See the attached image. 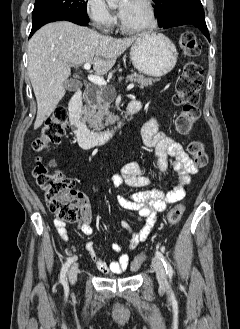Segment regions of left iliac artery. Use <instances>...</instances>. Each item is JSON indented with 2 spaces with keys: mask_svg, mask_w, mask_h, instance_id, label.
Here are the masks:
<instances>
[{
  "mask_svg": "<svg viewBox=\"0 0 240 329\" xmlns=\"http://www.w3.org/2000/svg\"><path fill=\"white\" fill-rule=\"evenodd\" d=\"M156 256L162 261V263L165 267V270H166V274L169 277H171L173 275V269H172L171 264L168 262V260L165 258V256L160 251L156 252Z\"/></svg>",
  "mask_w": 240,
  "mask_h": 329,
  "instance_id": "44dca946",
  "label": "left iliac artery"
}]
</instances>
